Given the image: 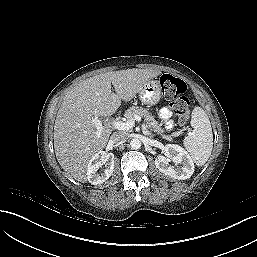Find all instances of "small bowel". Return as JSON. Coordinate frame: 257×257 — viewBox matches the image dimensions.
<instances>
[{
    "label": "small bowel",
    "instance_id": "1",
    "mask_svg": "<svg viewBox=\"0 0 257 257\" xmlns=\"http://www.w3.org/2000/svg\"><path fill=\"white\" fill-rule=\"evenodd\" d=\"M160 115L163 119H167L170 115V111L168 108L166 107H163L161 110H160ZM170 125V123L168 122V126Z\"/></svg>",
    "mask_w": 257,
    "mask_h": 257
}]
</instances>
